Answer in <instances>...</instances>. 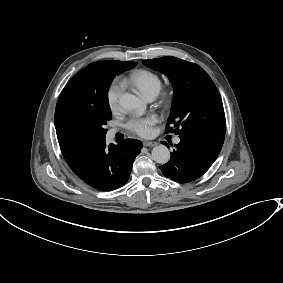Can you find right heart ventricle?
<instances>
[{"mask_svg":"<svg viewBox=\"0 0 283 283\" xmlns=\"http://www.w3.org/2000/svg\"><path fill=\"white\" fill-rule=\"evenodd\" d=\"M127 85L136 87L144 96L154 94L161 89V79L158 74L147 68H134L124 78Z\"/></svg>","mask_w":283,"mask_h":283,"instance_id":"e07e8e85","label":"right heart ventricle"}]
</instances>
